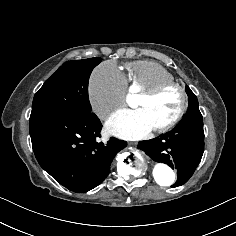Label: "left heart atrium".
<instances>
[{
  "mask_svg": "<svg viewBox=\"0 0 236 236\" xmlns=\"http://www.w3.org/2000/svg\"><path fill=\"white\" fill-rule=\"evenodd\" d=\"M106 130L123 139L135 140L144 137L152 127L142 109H123L114 113L106 123Z\"/></svg>",
  "mask_w": 236,
  "mask_h": 236,
  "instance_id": "39dd6f15",
  "label": "left heart atrium"
}]
</instances>
